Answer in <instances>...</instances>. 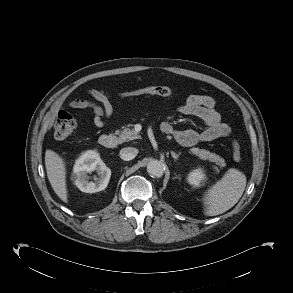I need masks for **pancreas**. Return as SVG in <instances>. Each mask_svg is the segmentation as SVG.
I'll list each match as a JSON object with an SVG mask.
<instances>
[{"instance_id": "pancreas-1", "label": "pancreas", "mask_w": 293, "mask_h": 293, "mask_svg": "<svg viewBox=\"0 0 293 293\" xmlns=\"http://www.w3.org/2000/svg\"><path fill=\"white\" fill-rule=\"evenodd\" d=\"M116 133L119 134L120 142H125V141H130V140L140 138V135L134 129H131V128H125L120 132L117 131ZM190 153L198 156L202 160H208L209 162H213L216 165H219L220 167L225 166V160L222 157H220L219 155L215 153H211L208 150L199 149V148H191ZM213 169L215 170V172L219 171L217 166H213Z\"/></svg>"}]
</instances>
